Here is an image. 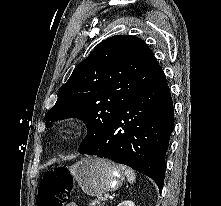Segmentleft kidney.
<instances>
[{
	"instance_id": "obj_1",
	"label": "left kidney",
	"mask_w": 221,
	"mask_h": 206,
	"mask_svg": "<svg viewBox=\"0 0 221 206\" xmlns=\"http://www.w3.org/2000/svg\"><path fill=\"white\" fill-rule=\"evenodd\" d=\"M117 206H135L133 201L127 200L119 203Z\"/></svg>"
}]
</instances>
